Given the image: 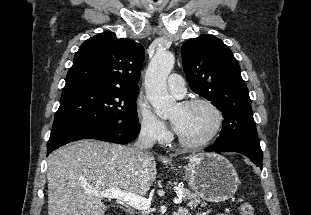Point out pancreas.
Returning <instances> with one entry per match:
<instances>
[{"instance_id": "obj_1", "label": "pancreas", "mask_w": 311, "mask_h": 215, "mask_svg": "<svg viewBox=\"0 0 311 215\" xmlns=\"http://www.w3.org/2000/svg\"><path fill=\"white\" fill-rule=\"evenodd\" d=\"M179 190L182 193L183 199L188 201V206L191 207V209H195L199 205L201 207L206 206V203L203 202L197 194L190 192L189 189L180 187ZM142 215H146V214H142Z\"/></svg>"}]
</instances>
